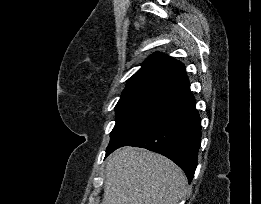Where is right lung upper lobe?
<instances>
[{"mask_svg":"<svg viewBox=\"0 0 261 204\" xmlns=\"http://www.w3.org/2000/svg\"><path fill=\"white\" fill-rule=\"evenodd\" d=\"M187 82L189 79L180 61L163 53H154L127 81L122 95L139 92L170 94Z\"/></svg>","mask_w":261,"mask_h":204,"instance_id":"1","label":"right lung upper lobe"}]
</instances>
